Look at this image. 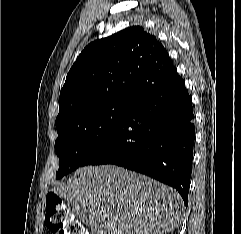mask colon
Masks as SVG:
<instances>
[{"label": "colon", "mask_w": 241, "mask_h": 234, "mask_svg": "<svg viewBox=\"0 0 241 234\" xmlns=\"http://www.w3.org/2000/svg\"><path fill=\"white\" fill-rule=\"evenodd\" d=\"M45 221L53 234H85L81 223L74 219L67 206L56 194L47 195Z\"/></svg>", "instance_id": "5ec220e1"}]
</instances>
